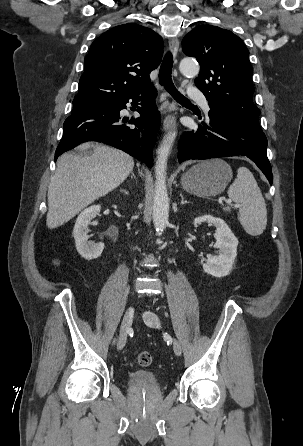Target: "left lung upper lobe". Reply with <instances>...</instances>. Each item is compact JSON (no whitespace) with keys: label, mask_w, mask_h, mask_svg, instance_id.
<instances>
[{"label":"left lung upper lobe","mask_w":303,"mask_h":446,"mask_svg":"<svg viewBox=\"0 0 303 446\" xmlns=\"http://www.w3.org/2000/svg\"><path fill=\"white\" fill-rule=\"evenodd\" d=\"M183 52L200 63L195 85L209 104L229 118L262 132L260 111L253 103V68L243 41L229 30L201 25L182 41Z\"/></svg>","instance_id":"1"}]
</instances>
